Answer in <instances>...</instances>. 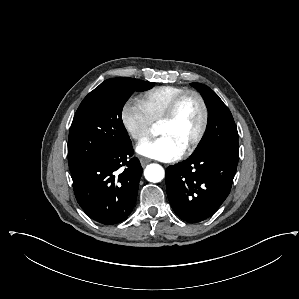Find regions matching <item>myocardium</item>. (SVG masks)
I'll use <instances>...</instances> for the list:
<instances>
[{
	"label": "myocardium",
	"instance_id": "f54148a6",
	"mask_svg": "<svg viewBox=\"0 0 299 299\" xmlns=\"http://www.w3.org/2000/svg\"><path fill=\"white\" fill-rule=\"evenodd\" d=\"M190 96L197 98V100L199 101V103L201 105L202 121H201V125H200V128H199L196 136L184 149V152H183L184 154H189L192 151H194L195 148L201 143V141L206 133L208 123H209V109H208V106H207V103H206L204 97L198 91H195V90H186V91L182 92L172 101V103L168 107L165 115L161 118V120L158 123L159 125H161V124H166V123H170V122L174 121L182 103L184 102V100L186 98H188Z\"/></svg>",
	"mask_w": 299,
	"mask_h": 299
}]
</instances>
